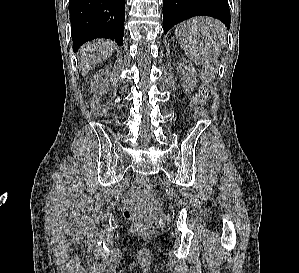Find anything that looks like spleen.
<instances>
[{
  "label": "spleen",
  "mask_w": 299,
  "mask_h": 273,
  "mask_svg": "<svg viewBox=\"0 0 299 273\" xmlns=\"http://www.w3.org/2000/svg\"><path fill=\"white\" fill-rule=\"evenodd\" d=\"M223 23L211 17H195L177 25L175 36L185 55L197 65L219 57L225 42Z\"/></svg>",
  "instance_id": "1"
}]
</instances>
